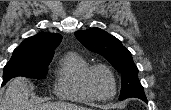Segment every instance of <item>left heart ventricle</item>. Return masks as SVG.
<instances>
[{"label":"left heart ventricle","instance_id":"left-heart-ventricle-1","mask_svg":"<svg viewBox=\"0 0 171 110\" xmlns=\"http://www.w3.org/2000/svg\"><path fill=\"white\" fill-rule=\"evenodd\" d=\"M93 90L98 96L108 97L113 92V83L110 76L103 70H97L91 78Z\"/></svg>","mask_w":171,"mask_h":110}]
</instances>
